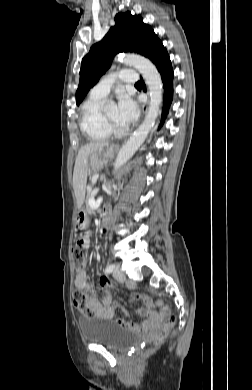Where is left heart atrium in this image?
I'll use <instances>...</instances> for the list:
<instances>
[{"label": "left heart atrium", "instance_id": "left-heart-atrium-1", "mask_svg": "<svg viewBox=\"0 0 252 390\" xmlns=\"http://www.w3.org/2000/svg\"><path fill=\"white\" fill-rule=\"evenodd\" d=\"M139 114L136 101L130 96L121 93L118 96L117 119L122 125H129L135 122Z\"/></svg>", "mask_w": 252, "mask_h": 390}]
</instances>
